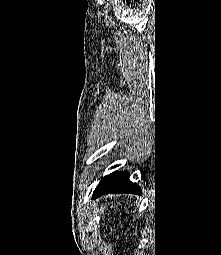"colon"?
I'll return each instance as SVG.
<instances>
[{
    "mask_svg": "<svg viewBox=\"0 0 221 255\" xmlns=\"http://www.w3.org/2000/svg\"><path fill=\"white\" fill-rule=\"evenodd\" d=\"M128 229H125L123 233L120 235V237H125L127 235Z\"/></svg>",
    "mask_w": 221,
    "mask_h": 255,
    "instance_id": "colon-1",
    "label": "colon"
}]
</instances>
